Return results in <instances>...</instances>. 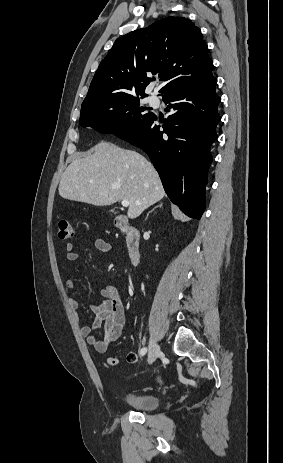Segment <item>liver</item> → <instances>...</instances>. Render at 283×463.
Listing matches in <instances>:
<instances>
[{
    "label": "liver",
    "mask_w": 283,
    "mask_h": 463,
    "mask_svg": "<svg viewBox=\"0 0 283 463\" xmlns=\"http://www.w3.org/2000/svg\"><path fill=\"white\" fill-rule=\"evenodd\" d=\"M58 190L64 199L95 206L128 200L130 219L165 195L156 169L143 155L109 142H100L75 159L63 173Z\"/></svg>",
    "instance_id": "liver-1"
}]
</instances>
